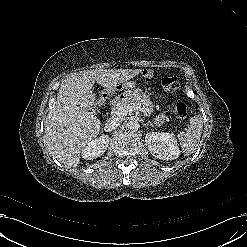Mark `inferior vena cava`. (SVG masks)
I'll use <instances>...</instances> for the list:
<instances>
[{
	"instance_id": "1",
	"label": "inferior vena cava",
	"mask_w": 247,
	"mask_h": 247,
	"mask_svg": "<svg viewBox=\"0 0 247 247\" xmlns=\"http://www.w3.org/2000/svg\"><path fill=\"white\" fill-rule=\"evenodd\" d=\"M121 120L118 117H113L107 120L105 123V131L115 130L118 126H120Z\"/></svg>"
}]
</instances>
